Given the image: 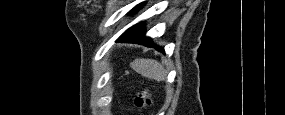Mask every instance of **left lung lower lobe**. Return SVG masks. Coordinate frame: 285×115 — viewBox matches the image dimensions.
Returning a JSON list of instances; mask_svg holds the SVG:
<instances>
[{
	"label": "left lung lower lobe",
	"mask_w": 285,
	"mask_h": 115,
	"mask_svg": "<svg viewBox=\"0 0 285 115\" xmlns=\"http://www.w3.org/2000/svg\"><path fill=\"white\" fill-rule=\"evenodd\" d=\"M142 4H139L136 8H139ZM134 9L131 11L133 12ZM143 23L136 24L126 30L119 38L117 41L121 42H132V43H139L143 44L148 47H155L157 50L164 52L163 48L155 45L152 42V39L149 37L144 36V29L142 27Z\"/></svg>",
	"instance_id": "0a47b994"
}]
</instances>
